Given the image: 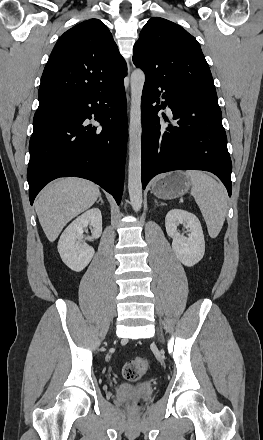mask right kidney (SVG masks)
<instances>
[{"label": "right kidney", "mask_w": 263, "mask_h": 440, "mask_svg": "<svg viewBox=\"0 0 263 440\" xmlns=\"http://www.w3.org/2000/svg\"><path fill=\"white\" fill-rule=\"evenodd\" d=\"M92 228V238H99L102 233V215L98 208H92L77 217L62 233L58 242V252L62 261L73 271H82L94 255L93 247L86 243L79 244L84 228Z\"/></svg>", "instance_id": "right-kidney-1"}]
</instances>
